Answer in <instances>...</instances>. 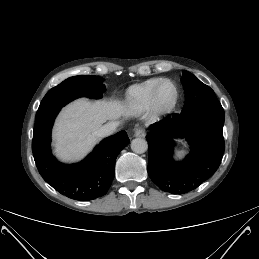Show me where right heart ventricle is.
Listing matches in <instances>:
<instances>
[{
  "instance_id": "e07e8e85",
  "label": "right heart ventricle",
  "mask_w": 259,
  "mask_h": 259,
  "mask_svg": "<svg viewBox=\"0 0 259 259\" xmlns=\"http://www.w3.org/2000/svg\"><path fill=\"white\" fill-rule=\"evenodd\" d=\"M161 78H151L132 85L125 94L126 105L134 111H144L150 107L151 97Z\"/></svg>"
}]
</instances>
